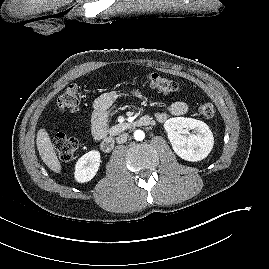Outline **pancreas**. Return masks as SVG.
<instances>
[{
	"label": "pancreas",
	"mask_w": 269,
	"mask_h": 269,
	"mask_svg": "<svg viewBox=\"0 0 269 269\" xmlns=\"http://www.w3.org/2000/svg\"><path fill=\"white\" fill-rule=\"evenodd\" d=\"M129 127H130V124L128 123H120L115 126H112L109 130V133L111 135H116Z\"/></svg>",
	"instance_id": "cf45deb5"
}]
</instances>
